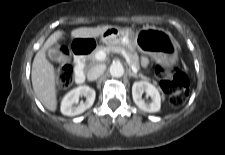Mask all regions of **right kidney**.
<instances>
[{
    "mask_svg": "<svg viewBox=\"0 0 225 155\" xmlns=\"http://www.w3.org/2000/svg\"><path fill=\"white\" fill-rule=\"evenodd\" d=\"M80 96H85L86 101L74 106ZM96 92L89 86H79L68 92L61 102V113L66 116H75L89 109L95 100Z\"/></svg>",
    "mask_w": 225,
    "mask_h": 155,
    "instance_id": "ca27d5eb",
    "label": "right kidney"
}]
</instances>
